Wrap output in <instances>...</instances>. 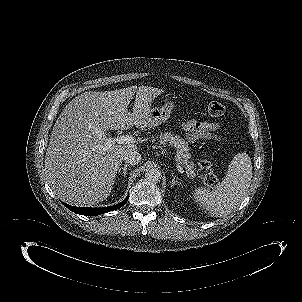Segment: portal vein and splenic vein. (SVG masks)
<instances>
[{"label":"portal vein and splenic vein","instance_id":"obj_1","mask_svg":"<svg viewBox=\"0 0 302 302\" xmlns=\"http://www.w3.org/2000/svg\"><path fill=\"white\" fill-rule=\"evenodd\" d=\"M135 140L136 139L131 135H121V136L114 137V138H107L104 148L107 149L116 143L117 144L135 143ZM176 167L179 172H181V173L184 172L183 168L179 164Z\"/></svg>","mask_w":302,"mask_h":302}]
</instances>
